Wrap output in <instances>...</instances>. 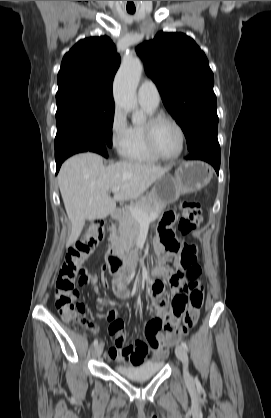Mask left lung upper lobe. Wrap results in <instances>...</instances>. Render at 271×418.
I'll use <instances>...</instances> for the list:
<instances>
[{"label": "left lung upper lobe", "mask_w": 271, "mask_h": 418, "mask_svg": "<svg viewBox=\"0 0 271 418\" xmlns=\"http://www.w3.org/2000/svg\"><path fill=\"white\" fill-rule=\"evenodd\" d=\"M163 103L181 126L188 150L217 140L214 76L204 52L183 33L159 32L137 47Z\"/></svg>", "instance_id": "5c2ea615"}]
</instances>
